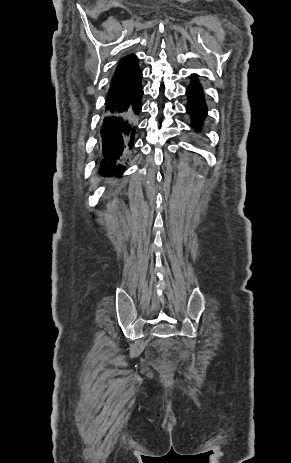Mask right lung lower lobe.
Masks as SVG:
<instances>
[{
    "label": "right lung lower lobe",
    "mask_w": 291,
    "mask_h": 463,
    "mask_svg": "<svg viewBox=\"0 0 291 463\" xmlns=\"http://www.w3.org/2000/svg\"><path fill=\"white\" fill-rule=\"evenodd\" d=\"M135 76L120 98L109 103L106 100L105 115L98 136L102 175L122 174L127 164L124 160L134 147L143 95L141 71ZM115 85L123 86V81Z\"/></svg>",
    "instance_id": "1"
}]
</instances>
